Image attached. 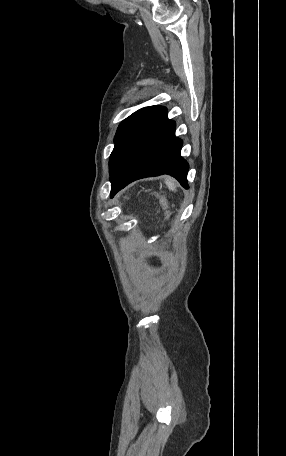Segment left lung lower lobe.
<instances>
[{"instance_id":"0a47b994","label":"left lung lower lobe","mask_w":286,"mask_h":456,"mask_svg":"<svg viewBox=\"0 0 286 456\" xmlns=\"http://www.w3.org/2000/svg\"><path fill=\"white\" fill-rule=\"evenodd\" d=\"M167 110L132 143L112 179L111 197L129 183L144 177L169 174L188 188V163L181 157L182 140Z\"/></svg>"}]
</instances>
